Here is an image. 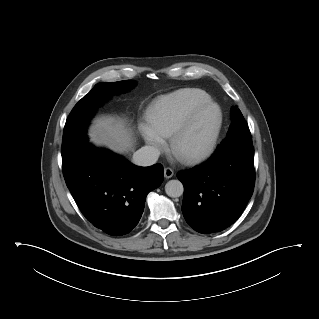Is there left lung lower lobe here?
<instances>
[{"label":"left lung lower lobe","instance_id":"1","mask_svg":"<svg viewBox=\"0 0 319 319\" xmlns=\"http://www.w3.org/2000/svg\"><path fill=\"white\" fill-rule=\"evenodd\" d=\"M184 185L182 212L202 234L220 232L241 215L252 196L255 171L251 143L217 148L205 163L177 174Z\"/></svg>","mask_w":319,"mask_h":319}]
</instances>
